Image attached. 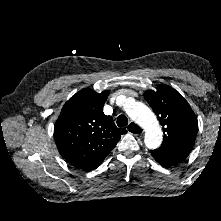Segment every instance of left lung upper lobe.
I'll return each instance as SVG.
<instances>
[{
    "label": "left lung upper lobe",
    "instance_id": "1",
    "mask_svg": "<svg viewBox=\"0 0 221 221\" xmlns=\"http://www.w3.org/2000/svg\"><path fill=\"white\" fill-rule=\"evenodd\" d=\"M144 98L163 127L164 140L160 148L194 145L198 131L197 117L180 93L160 84L156 91H146Z\"/></svg>",
    "mask_w": 221,
    "mask_h": 221
}]
</instances>
